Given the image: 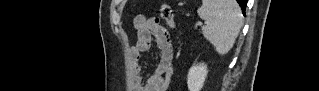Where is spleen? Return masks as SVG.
<instances>
[{
  "label": "spleen",
  "instance_id": "spleen-1",
  "mask_svg": "<svg viewBox=\"0 0 319 91\" xmlns=\"http://www.w3.org/2000/svg\"><path fill=\"white\" fill-rule=\"evenodd\" d=\"M198 15L205 21L203 36L220 55L227 54L243 24L242 13L235 0H203Z\"/></svg>",
  "mask_w": 319,
  "mask_h": 91
}]
</instances>
